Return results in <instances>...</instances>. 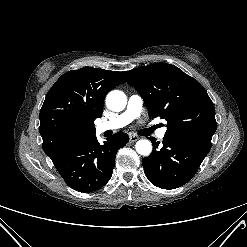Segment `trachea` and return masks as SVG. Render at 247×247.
<instances>
[{
	"mask_svg": "<svg viewBox=\"0 0 247 247\" xmlns=\"http://www.w3.org/2000/svg\"><path fill=\"white\" fill-rule=\"evenodd\" d=\"M152 131H153V129H144V130H142V134L144 136H148L152 133Z\"/></svg>",
	"mask_w": 247,
	"mask_h": 247,
	"instance_id": "obj_1",
	"label": "trachea"
}]
</instances>
